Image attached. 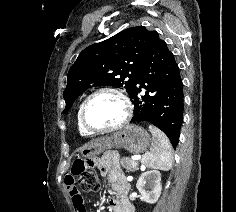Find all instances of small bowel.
I'll return each mask as SVG.
<instances>
[{
    "mask_svg": "<svg viewBox=\"0 0 236 212\" xmlns=\"http://www.w3.org/2000/svg\"><path fill=\"white\" fill-rule=\"evenodd\" d=\"M112 156H104L100 161L103 174L109 179L113 187V196L109 202L110 207L113 212H134V206L127 199L129 184L118 164L112 161ZM65 184L75 212H85L83 196L75 186V184H79V176L75 175L74 169L71 175L66 176Z\"/></svg>",
    "mask_w": 236,
    "mask_h": 212,
    "instance_id": "c3829d8e",
    "label": "small bowel"
}]
</instances>
